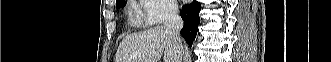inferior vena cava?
<instances>
[{"label":"inferior vena cava","instance_id":"602c4592","mask_svg":"<svg viewBox=\"0 0 331 62\" xmlns=\"http://www.w3.org/2000/svg\"><path fill=\"white\" fill-rule=\"evenodd\" d=\"M164 27L170 33L176 48V62H182V40L180 30L183 28V20L178 14V7L171 4L164 18Z\"/></svg>","mask_w":331,"mask_h":62}]
</instances>
